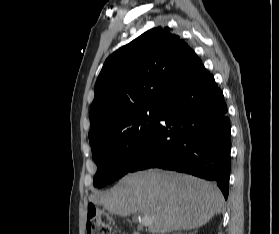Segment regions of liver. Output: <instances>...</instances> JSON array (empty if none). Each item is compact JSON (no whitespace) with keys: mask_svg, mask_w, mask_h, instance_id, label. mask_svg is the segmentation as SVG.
<instances>
[{"mask_svg":"<svg viewBox=\"0 0 279 234\" xmlns=\"http://www.w3.org/2000/svg\"><path fill=\"white\" fill-rule=\"evenodd\" d=\"M110 213H142L152 219L153 234L191 230L220 214L224 198L218 187L190 175L150 169L129 174L104 193L91 196Z\"/></svg>","mask_w":279,"mask_h":234,"instance_id":"obj_1","label":"liver"}]
</instances>
